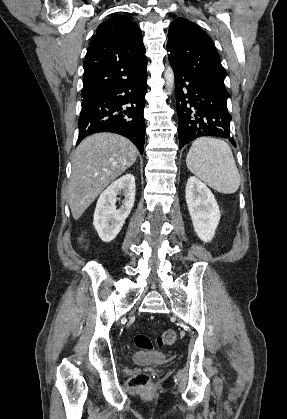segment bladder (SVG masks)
<instances>
[{
    "label": "bladder",
    "instance_id": "1",
    "mask_svg": "<svg viewBox=\"0 0 287 419\" xmlns=\"http://www.w3.org/2000/svg\"><path fill=\"white\" fill-rule=\"evenodd\" d=\"M133 360L136 363L153 365V364H162L166 362L167 357L164 354H157V353L136 354L134 355Z\"/></svg>",
    "mask_w": 287,
    "mask_h": 419
}]
</instances>
